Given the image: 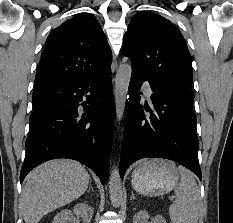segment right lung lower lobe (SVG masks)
<instances>
[{"label":"right lung lower lobe","instance_id":"right-lung-lower-lobe-1","mask_svg":"<svg viewBox=\"0 0 233 223\" xmlns=\"http://www.w3.org/2000/svg\"><path fill=\"white\" fill-rule=\"evenodd\" d=\"M32 100L21 183L41 163L69 158L91 168L105 184L113 140L111 68L93 77L35 88Z\"/></svg>","mask_w":233,"mask_h":223}]
</instances>
